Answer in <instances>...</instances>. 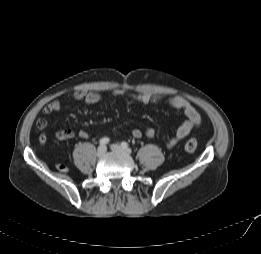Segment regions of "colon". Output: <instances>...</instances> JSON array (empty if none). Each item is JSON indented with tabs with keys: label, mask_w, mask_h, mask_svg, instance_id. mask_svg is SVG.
Segmentation results:
<instances>
[{
	"label": "colon",
	"mask_w": 261,
	"mask_h": 254,
	"mask_svg": "<svg viewBox=\"0 0 261 254\" xmlns=\"http://www.w3.org/2000/svg\"><path fill=\"white\" fill-rule=\"evenodd\" d=\"M197 140L194 138H190L189 140L186 141L184 148L185 151L188 153H193L196 148H197ZM56 168L60 171V172H66L67 171V167L64 164L58 163L56 165Z\"/></svg>",
	"instance_id": "obj_1"
}]
</instances>
